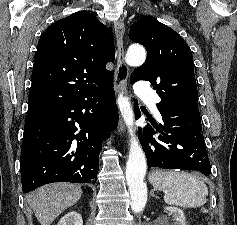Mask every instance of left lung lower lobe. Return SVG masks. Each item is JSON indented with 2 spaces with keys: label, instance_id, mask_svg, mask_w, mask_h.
I'll return each instance as SVG.
<instances>
[{
  "label": "left lung lower lobe",
  "instance_id": "obj_1",
  "mask_svg": "<svg viewBox=\"0 0 237 225\" xmlns=\"http://www.w3.org/2000/svg\"><path fill=\"white\" fill-rule=\"evenodd\" d=\"M137 103V101H135ZM135 117L141 112L134 105ZM163 124L148 120L138 138L147 156L148 167L162 169L197 170L210 175L202 124L197 104H188L177 109H159ZM157 134L155 138L152 135Z\"/></svg>",
  "mask_w": 237,
  "mask_h": 225
}]
</instances>
